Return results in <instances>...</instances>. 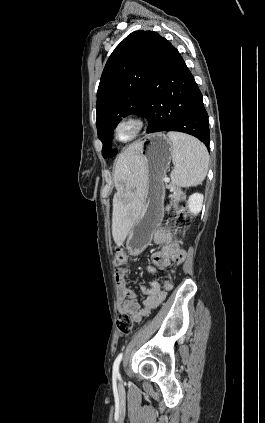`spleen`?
<instances>
[{"mask_svg":"<svg viewBox=\"0 0 265 423\" xmlns=\"http://www.w3.org/2000/svg\"><path fill=\"white\" fill-rule=\"evenodd\" d=\"M174 169L172 183L179 187L196 186L205 179L209 166L208 151L198 139L179 132H168Z\"/></svg>","mask_w":265,"mask_h":423,"instance_id":"spleen-1","label":"spleen"}]
</instances>
